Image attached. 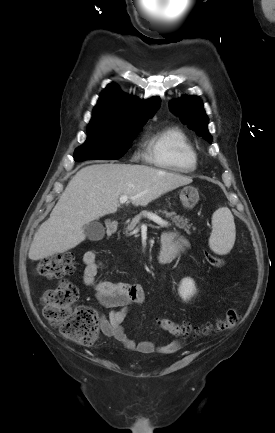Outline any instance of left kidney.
<instances>
[{
    "instance_id": "obj_1",
    "label": "left kidney",
    "mask_w": 275,
    "mask_h": 433,
    "mask_svg": "<svg viewBox=\"0 0 275 433\" xmlns=\"http://www.w3.org/2000/svg\"><path fill=\"white\" fill-rule=\"evenodd\" d=\"M178 293L183 300H189L196 293V287L193 279L189 277L183 278L180 282Z\"/></svg>"
}]
</instances>
